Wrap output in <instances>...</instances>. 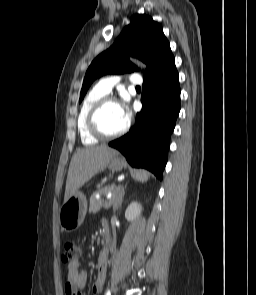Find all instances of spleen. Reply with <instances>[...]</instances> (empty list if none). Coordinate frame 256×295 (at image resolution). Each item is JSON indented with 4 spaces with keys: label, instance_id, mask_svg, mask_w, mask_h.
Returning a JSON list of instances; mask_svg holds the SVG:
<instances>
[{
    "label": "spleen",
    "instance_id": "spleen-1",
    "mask_svg": "<svg viewBox=\"0 0 256 295\" xmlns=\"http://www.w3.org/2000/svg\"><path fill=\"white\" fill-rule=\"evenodd\" d=\"M136 179L141 182H146L148 180V173L145 171H139L136 173Z\"/></svg>",
    "mask_w": 256,
    "mask_h": 295
}]
</instances>
